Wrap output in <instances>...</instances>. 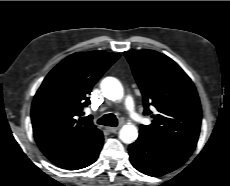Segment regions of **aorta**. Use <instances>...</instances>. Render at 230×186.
<instances>
[{"mask_svg": "<svg viewBox=\"0 0 230 186\" xmlns=\"http://www.w3.org/2000/svg\"><path fill=\"white\" fill-rule=\"evenodd\" d=\"M101 91L110 100H120L123 97V87L114 77H106L101 81ZM138 137V130L133 124L124 125L119 131V138L126 144L133 143Z\"/></svg>", "mask_w": 230, "mask_h": 186, "instance_id": "1", "label": "aorta"}]
</instances>
